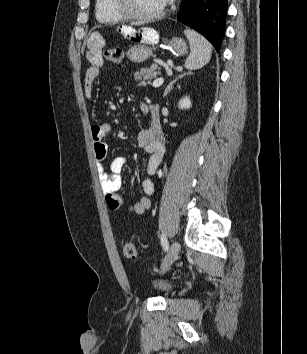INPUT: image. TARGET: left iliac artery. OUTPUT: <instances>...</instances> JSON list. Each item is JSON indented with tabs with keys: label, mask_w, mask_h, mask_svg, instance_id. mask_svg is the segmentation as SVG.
<instances>
[{
	"label": "left iliac artery",
	"mask_w": 307,
	"mask_h": 354,
	"mask_svg": "<svg viewBox=\"0 0 307 354\" xmlns=\"http://www.w3.org/2000/svg\"><path fill=\"white\" fill-rule=\"evenodd\" d=\"M161 245L165 251H168L169 243L164 233L161 235Z\"/></svg>",
	"instance_id": "obj_1"
}]
</instances>
